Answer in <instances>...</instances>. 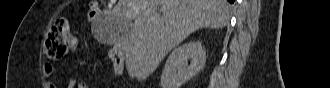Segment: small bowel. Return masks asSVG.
<instances>
[{
    "label": "small bowel",
    "instance_id": "c3829d8e",
    "mask_svg": "<svg viewBox=\"0 0 330 88\" xmlns=\"http://www.w3.org/2000/svg\"><path fill=\"white\" fill-rule=\"evenodd\" d=\"M77 47H78V40L77 38H73L70 43L68 44L67 48H66V51L65 52H75L77 50ZM117 52V48L116 47H110L109 49V57L111 54L113 53H116ZM121 61H122V64H123V59H122V56H121ZM56 73V68L53 64H50V63H46L44 66H43V74L45 76H52ZM67 88H75L76 86V81L74 79H69L67 81V84H66ZM51 88H56L57 86L55 84H51L50 85ZM88 86L84 83V82H81L80 85H79V88H87Z\"/></svg>",
    "mask_w": 330,
    "mask_h": 88
}]
</instances>
